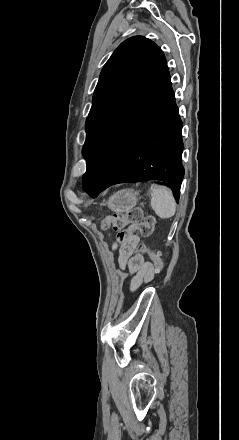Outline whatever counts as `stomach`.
<instances>
[{
    "label": "stomach",
    "mask_w": 239,
    "mask_h": 440,
    "mask_svg": "<svg viewBox=\"0 0 239 440\" xmlns=\"http://www.w3.org/2000/svg\"><path fill=\"white\" fill-rule=\"evenodd\" d=\"M139 200V192H135V190H120V192L110 196L103 206H108L112 212H117V214H124L127 210H132Z\"/></svg>",
    "instance_id": "0dacf381"
}]
</instances>
